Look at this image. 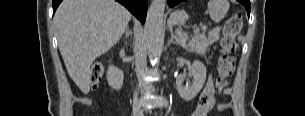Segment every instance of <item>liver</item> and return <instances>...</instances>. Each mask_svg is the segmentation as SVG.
<instances>
[{
  "instance_id": "obj_1",
  "label": "liver",
  "mask_w": 305,
  "mask_h": 116,
  "mask_svg": "<svg viewBox=\"0 0 305 116\" xmlns=\"http://www.w3.org/2000/svg\"><path fill=\"white\" fill-rule=\"evenodd\" d=\"M130 12L115 0H63L55 15L59 50L79 89L90 90L91 65L116 44Z\"/></svg>"
}]
</instances>
